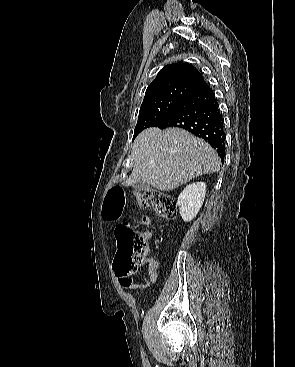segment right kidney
<instances>
[{
    "mask_svg": "<svg viewBox=\"0 0 295 367\" xmlns=\"http://www.w3.org/2000/svg\"><path fill=\"white\" fill-rule=\"evenodd\" d=\"M206 194V184H189L179 195L177 205L182 219L190 222L199 212Z\"/></svg>",
    "mask_w": 295,
    "mask_h": 367,
    "instance_id": "obj_1",
    "label": "right kidney"
}]
</instances>
